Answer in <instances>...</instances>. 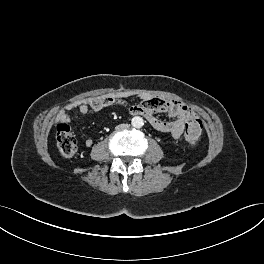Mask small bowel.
Instances as JSON below:
<instances>
[{"label": "small bowel", "instance_id": "1", "mask_svg": "<svg viewBox=\"0 0 264 264\" xmlns=\"http://www.w3.org/2000/svg\"><path fill=\"white\" fill-rule=\"evenodd\" d=\"M129 97H135L139 100L138 103L129 107L131 114L143 115L154 129L162 133H169L175 139L182 136L185 122L189 118L195 117V113L186 104L180 101L156 97L147 92L132 93L130 91H120L117 93L90 97L69 104L66 110H61L58 113L57 119L59 121H68L69 117L66 112L67 110L77 109L81 114L89 115L114 105L125 106L127 105L126 99ZM156 112L167 113L170 117H173L174 120H161L155 116ZM92 144V139H86L85 145L87 147H91Z\"/></svg>", "mask_w": 264, "mask_h": 264}]
</instances>
